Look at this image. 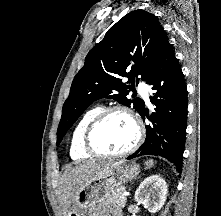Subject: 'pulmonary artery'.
<instances>
[{
    "mask_svg": "<svg viewBox=\"0 0 221 216\" xmlns=\"http://www.w3.org/2000/svg\"><path fill=\"white\" fill-rule=\"evenodd\" d=\"M139 91H140L141 95L144 97L145 101L149 102L147 87L144 84L140 83L139 84Z\"/></svg>",
    "mask_w": 221,
    "mask_h": 216,
    "instance_id": "pulmonary-artery-1",
    "label": "pulmonary artery"
}]
</instances>
